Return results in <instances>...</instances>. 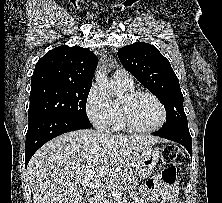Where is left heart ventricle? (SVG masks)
<instances>
[{
  "label": "left heart ventricle",
  "mask_w": 222,
  "mask_h": 203,
  "mask_svg": "<svg viewBox=\"0 0 222 203\" xmlns=\"http://www.w3.org/2000/svg\"><path fill=\"white\" fill-rule=\"evenodd\" d=\"M129 109L134 122L144 128L157 125L162 117L159 106L150 97L136 99Z\"/></svg>",
  "instance_id": "left-heart-ventricle-1"
}]
</instances>
